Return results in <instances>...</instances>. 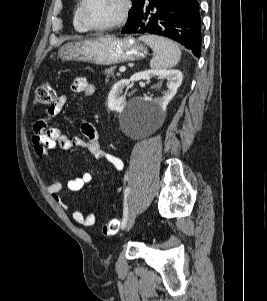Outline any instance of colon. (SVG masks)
<instances>
[{
  "label": "colon",
  "instance_id": "obj_1",
  "mask_svg": "<svg viewBox=\"0 0 267 301\" xmlns=\"http://www.w3.org/2000/svg\"><path fill=\"white\" fill-rule=\"evenodd\" d=\"M56 99V93L49 84L39 85L35 90V104L40 106L51 105ZM105 235H114L119 230V221L111 219L103 225Z\"/></svg>",
  "mask_w": 267,
  "mask_h": 301
}]
</instances>
